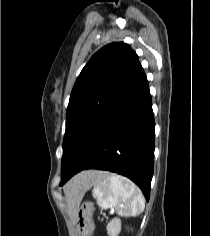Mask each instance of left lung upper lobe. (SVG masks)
Masks as SVG:
<instances>
[{
	"instance_id": "obj_1",
	"label": "left lung upper lobe",
	"mask_w": 210,
	"mask_h": 236,
	"mask_svg": "<svg viewBox=\"0 0 210 236\" xmlns=\"http://www.w3.org/2000/svg\"><path fill=\"white\" fill-rule=\"evenodd\" d=\"M141 73L138 56L126 43L108 44L92 56L70 96L61 168L85 129Z\"/></svg>"
}]
</instances>
